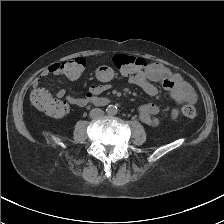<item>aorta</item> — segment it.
Listing matches in <instances>:
<instances>
[{
  "label": "aorta",
  "mask_w": 224,
  "mask_h": 224,
  "mask_svg": "<svg viewBox=\"0 0 224 224\" xmlns=\"http://www.w3.org/2000/svg\"><path fill=\"white\" fill-rule=\"evenodd\" d=\"M106 112H107L108 115L114 116V115L117 114L118 108H117L116 105H109L106 108Z\"/></svg>",
  "instance_id": "762f6f07"
}]
</instances>
